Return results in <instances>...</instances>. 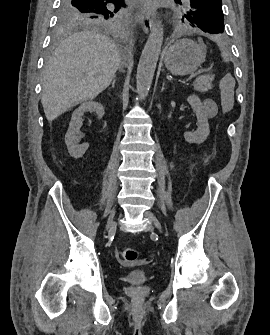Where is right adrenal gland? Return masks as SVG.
Segmentation results:
<instances>
[{"label":"right adrenal gland","mask_w":270,"mask_h":335,"mask_svg":"<svg viewBox=\"0 0 270 335\" xmlns=\"http://www.w3.org/2000/svg\"><path fill=\"white\" fill-rule=\"evenodd\" d=\"M115 82H116V76H113V82H111L112 88H115Z\"/></svg>","instance_id":"right-adrenal-gland-1"}]
</instances>
